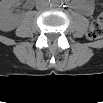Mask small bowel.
Listing matches in <instances>:
<instances>
[{"instance_id": "obj_1", "label": "small bowel", "mask_w": 103, "mask_h": 103, "mask_svg": "<svg viewBox=\"0 0 103 103\" xmlns=\"http://www.w3.org/2000/svg\"><path fill=\"white\" fill-rule=\"evenodd\" d=\"M77 10L86 16H91L94 12V6L91 2H82L77 4L76 6Z\"/></svg>"}]
</instances>
